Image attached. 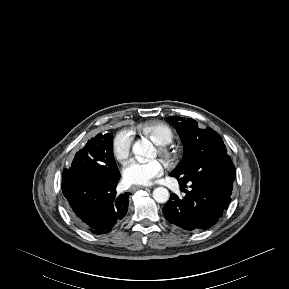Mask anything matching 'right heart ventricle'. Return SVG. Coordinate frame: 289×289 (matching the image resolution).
Segmentation results:
<instances>
[{
    "instance_id": "e07e8e85",
    "label": "right heart ventricle",
    "mask_w": 289,
    "mask_h": 289,
    "mask_svg": "<svg viewBox=\"0 0 289 289\" xmlns=\"http://www.w3.org/2000/svg\"><path fill=\"white\" fill-rule=\"evenodd\" d=\"M138 131L150 138L156 145H168L174 139L172 128L159 121L145 123L138 127Z\"/></svg>"
}]
</instances>
